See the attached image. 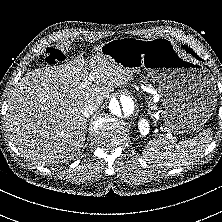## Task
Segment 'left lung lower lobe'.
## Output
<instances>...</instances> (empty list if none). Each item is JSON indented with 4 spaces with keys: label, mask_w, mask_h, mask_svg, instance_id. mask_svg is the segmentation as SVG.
<instances>
[{
    "label": "left lung lower lobe",
    "mask_w": 222,
    "mask_h": 222,
    "mask_svg": "<svg viewBox=\"0 0 222 222\" xmlns=\"http://www.w3.org/2000/svg\"><path fill=\"white\" fill-rule=\"evenodd\" d=\"M184 47V46H183ZM189 53H191L194 57L200 60V58L196 55V53L191 48L184 47Z\"/></svg>",
    "instance_id": "left-lung-lower-lobe-1"
}]
</instances>
